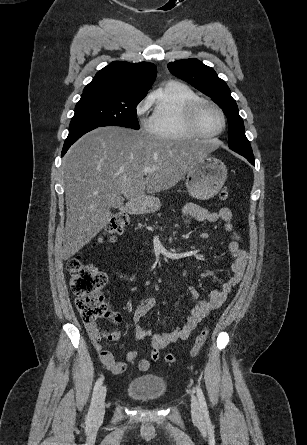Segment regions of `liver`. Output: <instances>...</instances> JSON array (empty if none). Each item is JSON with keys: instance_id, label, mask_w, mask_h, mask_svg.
Returning a JSON list of instances; mask_svg holds the SVG:
<instances>
[{"instance_id": "liver-1", "label": "liver", "mask_w": 307, "mask_h": 445, "mask_svg": "<svg viewBox=\"0 0 307 445\" xmlns=\"http://www.w3.org/2000/svg\"><path fill=\"white\" fill-rule=\"evenodd\" d=\"M200 158L195 142L155 138L145 130L100 126L81 136L64 162L62 259L73 257L108 225L117 194L131 200L168 190ZM144 166L156 170L146 174Z\"/></svg>"}]
</instances>
